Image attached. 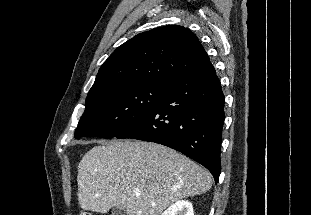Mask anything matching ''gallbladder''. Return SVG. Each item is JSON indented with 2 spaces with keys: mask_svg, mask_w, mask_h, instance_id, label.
<instances>
[{
  "mask_svg": "<svg viewBox=\"0 0 311 215\" xmlns=\"http://www.w3.org/2000/svg\"><path fill=\"white\" fill-rule=\"evenodd\" d=\"M111 215H126V211L120 207H115L111 211Z\"/></svg>",
  "mask_w": 311,
  "mask_h": 215,
  "instance_id": "gallbladder-1",
  "label": "gallbladder"
}]
</instances>
